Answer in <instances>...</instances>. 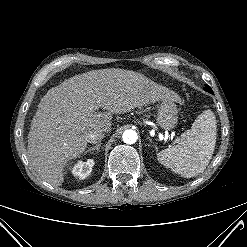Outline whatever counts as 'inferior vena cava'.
I'll list each match as a JSON object with an SVG mask.
<instances>
[{
  "instance_id": "1",
  "label": "inferior vena cava",
  "mask_w": 247,
  "mask_h": 247,
  "mask_svg": "<svg viewBox=\"0 0 247 247\" xmlns=\"http://www.w3.org/2000/svg\"><path fill=\"white\" fill-rule=\"evenodd\" d=\"M104 136H105L104 130L97 129V130L91 132L87 136V142H89V143H98L104 138Z\"/></svg>"
}]
</instances>
